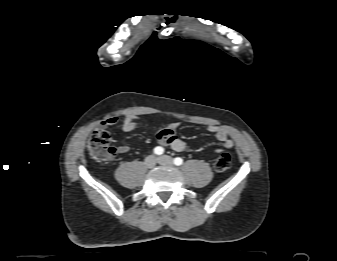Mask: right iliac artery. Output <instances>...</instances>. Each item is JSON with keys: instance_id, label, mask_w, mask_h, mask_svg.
I'll return each mask as SVG.
<instances>
[{"instance_id": "1", "label": "right iliac artery", "mask_w": 337, "mask_h": 261, "mask_svg": "<svg viewBox=\"0 0 337 261\" xmlns=\"http://www.w3.org/2000/svg\"><path fill=\"white\" fill-rule=\"evenodd\" d=\"M154 153L156 155H161V154L164 153V149L162 147H160V146H157V147L154 148Z\"/></svg>"}]
</instances>
